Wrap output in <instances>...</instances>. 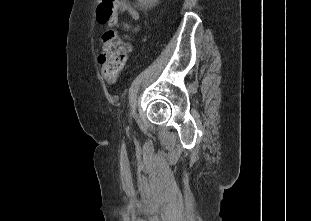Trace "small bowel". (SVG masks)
I'll use <instances>...</instances> for the list:
<instances>
[{"instance_id":"1","label":"small bowel","mask_w":311,"mask_h":221,"mask_svg":"<svg viewBox=\"0 0 311 221\" xmlns=\"http://www.w3.org/2000/svg\"><path fill=\"white\" fill-rule=\"evenodd\" d=\"M123 14H128L132 20H138L140 17L139 11L135 4L129 0H116L113 16L109 21V25L116 29L122 28L126 30L137 31L139 26L132 27L129 23L119 21V17ZM124 49L126 53H131L133 50L130 44L125 45Z\"/></svg>"}]
</instances>
